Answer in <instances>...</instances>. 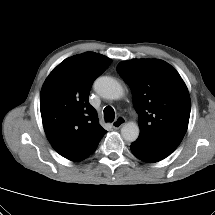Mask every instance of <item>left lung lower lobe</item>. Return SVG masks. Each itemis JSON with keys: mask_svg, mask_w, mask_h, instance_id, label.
<instances>
[{"mask_svg": "<svg viewBox=\"0 0 215 215\" xmlns=\"http://www.w3.org/2000/svg\"><path fill=\"white\" fill-rule=\"evenodd\" d=\"M132 153L140 160L148 163L158 162L167 156L169 153H165L159 150H156L142 142L135 141L130 146Z\"/></svg>", "mask_w": 215, "mask_h": 215, "instance_id": "left-lung-lower-lobe-1", "label": "left lung lower lobe"}]
</instances>
